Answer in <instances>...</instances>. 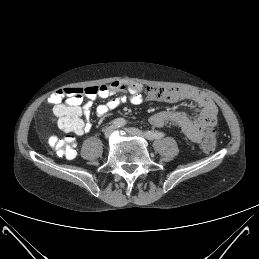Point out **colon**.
Wrapping results in <instances>:
<instances>
[{
    "label": "colon",
    "mask_w": 259,
    "mask_h": 259,
    "mask_svg": "<svg viewBox=\"0 0 259 259\" xmlns=\"http://www.w3.org/2000/svg\"><path fill=\"white\" fill-rule=\"evenodd\" d=\"M60 121V120H59ZM62 129L71 132L76 128L77 123L73 118L61 120ZM51 148L60 156L73 159L76 156V141L72 135H66L63 138L54 137L49 140ZM216 140L214 131L208 133L202 142V149L205 153L210 154L215 150Z\"/></svg>",
    "instance_id": "5ec220e1"
}]
</instances>
